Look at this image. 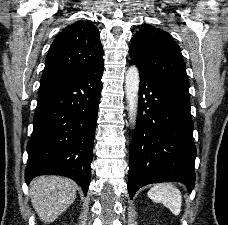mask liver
Wrapping results in <instances>:
<instances>
[{
  "label": "liver",
  "instance_id": "6515ba94",
  "mask_svg": "<svg viewBox=\"0 0 228 225\" xmlns=\"http://www.w3.org/2000/svg\"><path fill=\"white\" fill-rule=\"evenodd\" d=\"M29 191L38 217L50 225L74 203L77 185L65 177H36L31 181Z\"/></svg>",
  "mask_w": 228,
  "mask_h": 225
}]
</instances>
